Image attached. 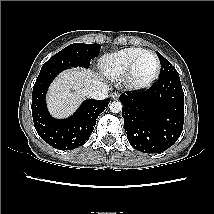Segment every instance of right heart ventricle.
I'll list each match as a JSON object with an SVG mask.
<instances>
[{
	"instance_id": "1",
	"label": "right heart ventricle",
	"mask_w": 214,
	"mask_h": 214,
	"mask_svg": "<svg viewBox=\"0 0 214 214\" xmlns=\"http://www.w3.org/2000/svg\"><path fill=\"white\" fill-rule=\"evenodd\" d=\"M145 49L131 47L104 55L99 60V66L107 77L119 79L123 77L132 61Z\"/></svg>"
}]
</instances>
